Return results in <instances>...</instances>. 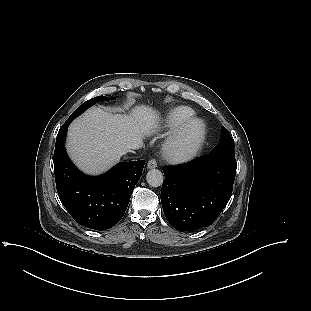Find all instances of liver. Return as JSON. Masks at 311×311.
Instances as JSON below:
<instances>
[{
	"instance_id": "6515ba94",
	"label": "liver",
	"mask_w": 311,
	"mask_h": 311,
	"mask_svg": "<svg viewBox=\"0 0 311 311\" xmlns=\"http://www.w3.org/2000/svg\"><path fill=\"white\" fill-rule=\"evenodd\" d=\"M159 117L144 105L136 107L129 116L91 108L71 123L68 154L84 172L99 174L116 164L122 155L141 148L143 139L158 130Z\"/></svg>"
}]
</instances>
